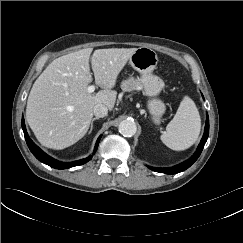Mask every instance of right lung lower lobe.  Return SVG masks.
Returning a JSON list of instances; mask_svg holds the SVG:
<instances>
[{
	"label": "right lung lower lobe",
	"mask_w": 243,
	"mask_h": 243,
	"mask_svg": "<svg viewBox=\"0 0 243 243\" xmlns=\"http://www.w3.org/2000/svg\"><path fill=\"white\" fill-rule=\"evenodd\" d=\"M22 128H23V131H24L26 143H27L30 151L33 153V155L39 161L43 162L44 164L49 165L50 167H53V168H56V169H67V168H71V167H74V166L85 164L86 162H88L91 159V156H89L86 159L78 160V161H75V162H69V163L57 161V160L53 159L52 157L48 156L38 146H36L33 143V141L30 139V137L28 136V133L26 131L23 117H22ZM100 138H101V136L98 138V140L96 142L95 149H94L95 151L97 150Z\"/></svg>",
	"instance_id": "obj_1"
}]
</instances>
